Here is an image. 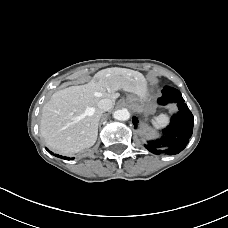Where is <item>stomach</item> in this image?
I'll use <instances>...</instances> for the list:
<instances>
[{
    "label": "stomach",
    "mask_w": 228,
    "mask_h": 228,
    "mask_svg": "<svg viewBox=\"0 0 228 228\" xmlns=\"http://www.w3.org/2000/svg\"><path fill=\"white\" fill-rule=\"evenodd\" d=\"M125 103L132 107V108H136V109H139L142 107V100L141 98L137 97V96H134V95H129L126 100H125Z\"/></svg>",
    "instance_id": "1"
}]
</instances>
